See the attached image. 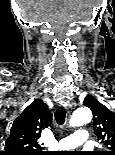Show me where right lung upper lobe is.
<instances>
[{
  "label": "right lung upper lobe",
  "mask_w": 115,
  "mask_h": 155,
  "mask_svg": "<svg viewBox=\"0 0 115 155\" xmlns=\"http://www.w3.org/2000/svg\"><path fill=\"white\" fill-rule=\"evenodd\" d=\"M51 116L46 103L34 100L13 122L5 150L0 151V155H46L38 139L42 129L51 125Z\"/></svg>",
  "instance_id": "cb5924a9"
}]
</instances>
